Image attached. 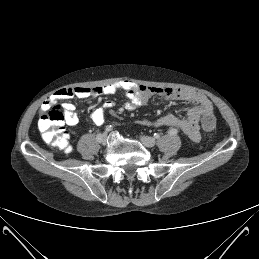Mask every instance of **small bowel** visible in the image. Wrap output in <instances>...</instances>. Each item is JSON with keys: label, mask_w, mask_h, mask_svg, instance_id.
<instances>
[{"label": "small bowel", "mask_w": 259, "mask_h": 259, "mask_svg": "<svg viewBox=\"0 0 259 259\" xmlns=\"http://www.w3.org/2000/svg\"><path fill=\"white\" fill-rule=\"evenodd\" d=\"M117 91H123L127 101L123 104L126 110L132 111L146 105L154 95L169 100H180L192 103L185 117L181 118L175 114H166L155 120H141L139 123L145 126L160 128L164 126L175 127L181 130L189 139L198 142L201 139L200 120L203 116L212 114L213 106L210 100L197 91L186 89H173L168 87H149L136 84L130 80H120L104 86L93 88L75 87L61 88L53 93L42 105L46 111L59 100L71 99L73 97L86 99L89 97L110 96ZM115 106L113 100H106L104 104L93 110L90 114L91 121L100 126L103 124L106 113ZM65 115V122L74 126L79 122L76 107L71 102L62 105Z\"/></svg>", "instance_id": "small-bowel-1"}]
</instances>
